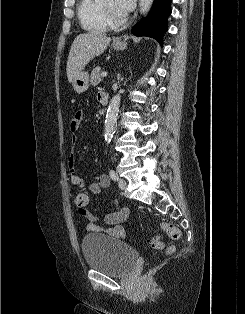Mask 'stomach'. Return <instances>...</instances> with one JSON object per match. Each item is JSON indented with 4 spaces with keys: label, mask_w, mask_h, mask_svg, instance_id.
Listing matches in <instances>:
<instances>
[{
    "label": "stomach",
    "mask_w": 245,
    "mask_h": 314,
    "mask_svg": "<svg viewBox=\"0 0 245 314\" xmlns=\"http://www.w3.org/2000/svg\"><path fill=\"white\" fill-rule=\"evenodd\" d=\"M113 48L117 51H122L126 48V43H113ZM73 88L77 93H84L89 87V74L86 71H81L72 82Z\"/></svg>",
    "instance_id": "obj_1"
}]
</instances>
